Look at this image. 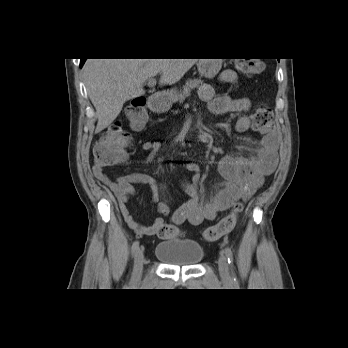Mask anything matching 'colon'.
Segmentation results:
<instances>
[{
  "mask_svg": "<svg viewBox=\"0 0 348 348\" xmlns=\"http://www.w3.org/2000/svg\"><path fill=\"white\" fill-rule=\"evenodd\" d=\"M236 67L240 72L252 76L262 71L263 63L258 58L238 59ZM126 118L134 129H141L146 125L147 113L144 98L138 97L132 101L126 112ZM251 126L255 131L262 134L272 132L275 127L272 111L266 107H258L251 115ZM130 147V135L123 129L121 123H113L100 136L94 146L95 162L101 166L117 164L125 158ZM241 210L242 205L237 203L231 212L224 216L216 225L205 230V239L207 241H216L229 234L234 229ZM158 235L169 239L179 236L180 231L175 225L166 224L159 229Z\"/></svg>",
  "mask_w": 348,
  "mask_h": 348,
  "instance_id": "1",
  "label": "colon"
}]
</instances>
